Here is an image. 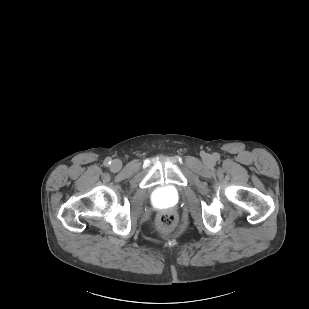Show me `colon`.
<instances>
[{"instance_id": "5ec220e1", "label": "colon", "mask_w": 309, "mask_h": 309, "mask_svg": "<svg viewBox=\"0 0 309 309\" xmlns=\"http://www.w3.org/2000/svg\"><path fill=\"white\" fill-rule=\"evenodd\" d=\"M176 215L172 212H163L157 220V225L162 230H170L176 224Z\"/></svg>"}]
</instances>
